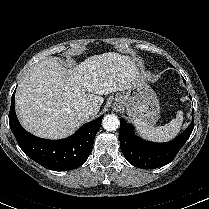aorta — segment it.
Returning <instances> with one entry per match:
<instances>
[{
	"label": "aorta",
	"instance_id": "aorta-1",
	"mask_svg": "<svg viewBox=\"0 0 209 209\" xmlns=\"http://www.w3.org/2000/svg\"><path fill=\"white\" fill-rule=\"evenodd\" d=\"M120 121L118 117L114 114L106 115L103 118L102 126L107 131H115L119 128Z\"/></svg>",
	"mask_w": 209,
	"mask_h": 209
}]
</instances>
